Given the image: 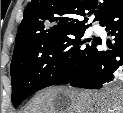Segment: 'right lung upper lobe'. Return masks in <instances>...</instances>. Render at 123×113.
Here are the masks:
<instances>
[{
	"label": "right lung upper lobe",
	"mask_w": 123,
	"mask_h": 113,
	"mask_svg": "<svg viewBox=\"0 0 123 113\" xmlns=\"http://www.w3.org/2000/svg\"><path fill=\"white\" fill-rule=\"evenodd\" d=\"M122 0H32L25 8L18 28L15 47L64 33L88 28V15L101 21Z\"/></svg>",
	"instance_id": "cb5924a9"
}]
</instances>
